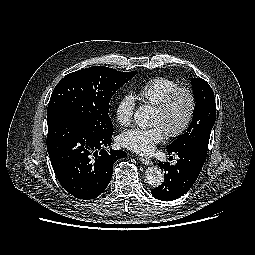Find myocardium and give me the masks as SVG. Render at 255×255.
Returning a JSON list of instances; mask_svg holds the SVG:
<instances>
[{
  "label": "myocardium",
  "mask_w": 255,
  "mask_h": 255,
  "mask_svg": "<svg viewBox=\"0 0 255 255\" xmlns=\"http://www.w3.org/2000/svg\"><path fill=\"white\" fill-rule=\"evenodd\" d=\"M180 94H184L189 99V109L188 113L182 122V124L175 129H165V133L168 137L177 138L182 136L191 126L197 108V98L194 91L188 87H177L168 93L163 100L155 106V110L161 115H166L176 99V97Z\"/></svg>",
  "instance_id": "f54148a6"
}]
</instances>
